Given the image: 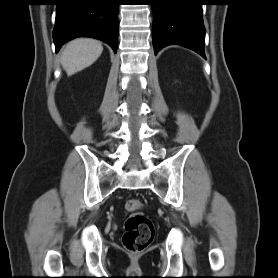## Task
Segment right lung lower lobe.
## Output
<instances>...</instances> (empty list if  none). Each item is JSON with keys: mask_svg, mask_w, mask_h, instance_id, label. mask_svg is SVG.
<instances>
[{"mask_svg": "<svg viewBox=\"0 0 278 278\" xmlns=\"http://www.w3.org/2000/svg\"><path fill=\"white\" fill-rule=\"evenodd\" d=\"M53 40L56 52L67 41L87 36L109 44L114 52L118 37V0H56Z\"/></svg>", "mask_w": 278, "mask_h": 278, "instance_id": "obj_1", "label": "right lung lower lobe"}]
</instances>
